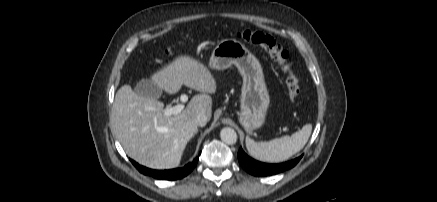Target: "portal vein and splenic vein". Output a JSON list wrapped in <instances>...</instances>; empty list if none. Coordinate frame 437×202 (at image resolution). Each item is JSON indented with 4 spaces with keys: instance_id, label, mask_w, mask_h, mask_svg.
<instances>
[{
    "instance_id": "1",
    "label": "portal vein and splenic vein",
    "mask_w": 437,
    "mask_h": 202,
    "mask_svg": "<svg viewBox=\"0 0 437 202\" xmlns=\"http://www.w3.org/2000/svg\"><path fill=\"white\" fill-rule=\"evenodd\" d=\"M180 101H181L182 103L187 102V101H188V96H187L186 94H182V95L180 96ZM183 109H184V105H183V104H177V105H175V106H173V107H171V108H167V109H165L164 114H165L166 116L177 115V114H179Z\"/></svg>"
}]
</instances>
